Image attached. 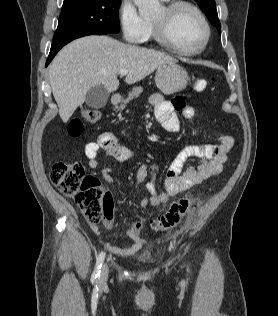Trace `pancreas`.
Wrapping results in <instances>:
<instances>
[{"label":"pancreas","mask_w":278,"mask_h":316,"mask_svg":"<svg viewBox=\"0 0 278 316\" xmlns=\"http://www.w3.org/2000/svg\"><path fill=\"white\" fill-rule=\"evenodd\" d=\"M143 88L142 87H135L132 89V91L128 94V97L122 101L120 106L118 107V110H123L126 108L127 104L130 103L134 98L139 97V95L142 93Z\"/></svg>","instance_id":"cf45deb5"}]
</instances>
